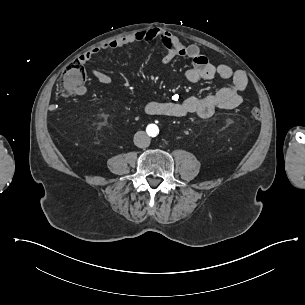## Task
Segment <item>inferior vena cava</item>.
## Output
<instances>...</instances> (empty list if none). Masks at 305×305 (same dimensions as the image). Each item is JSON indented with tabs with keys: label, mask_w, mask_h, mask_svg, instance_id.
<instances>
[{
	"label": "inferior vena cava",
	"mask_w": 305,
	"mask_h": 305,
	"mask_svg": "<svg viewBox=\"0 0 305 305\" xmlns=\"http://www.w3.org/2000/svg\"><path fill=\"white\" fill-rule=\"evenodd\" d=\"M133 141L139 148H146L150 144V138L144 131L136 132Z\"/></svg>",
	"instance_id": "1"
}]
</instances>
